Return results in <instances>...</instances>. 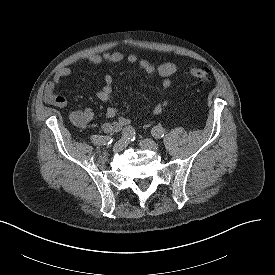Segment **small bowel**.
<instances>
[{
	"label": "small bowel",
	"mask_w": 275,
	"mask_h": 275,
	"mask_svg": "<svg viewBox=\"0 0 275 275\" xmlns=\"http://www.w3.org/2000/svg\"><path fill=\"white\" fill-rule=\"evenodd\" d=\"M126 60L130 64L138 63V66L147 74H158L162 79L161 85L164 90H171L174 87L172 76L178 72V68L174 63H163L158 67L154 66L147 60H138L137 56L130 54L125 57L120 52H106L103 54H93L87 57V61L92 64H101L104 62L119 63ZM72 74V70L68 67L59 69L53 79L45 86L44 100L47 104L66 107L68 105L67 99L54 92L56 85L60 84L62 80ZM113 92V77L110 74L104 76V85L97 93L101 101L107 102L111 99ZM165 105L163 103L156 104L152 113L158 115L164 111ZM94 113L91 109L74 110L69 112L68 118L70 122L77 127H84L92 121ZM106 117L112 121L103 124V131L105 133L118 132L130 123L129 118L118 116V110L115 107H109L106 110Z\"/></svg>",
	"instance_id": "obj_1"
}]
</instances>
